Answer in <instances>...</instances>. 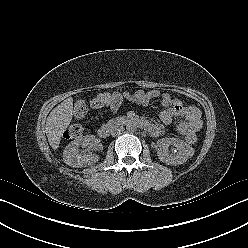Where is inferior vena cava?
Returning a JSON list of instances; mask_svg holds the SVG:
<instances>
[{
    "mask_svg": "<svg viewBox=\"0 0 248 248\" xmlns=\"http://www.w3.org/2000/svg\"><path fill=\"white\" fill-rule=\"evenodd\" d=\"M124 130V128L122 126H115L112 130H111V135L116 136L121 134V132Z\"/></svg>",
    "mask_w": 248,
    "mask_h": 248,
    "instance_id": "obj_1",
    "label": "inferior vena cava"
}]
</instances>
